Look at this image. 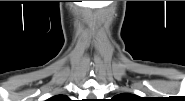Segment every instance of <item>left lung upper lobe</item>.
I'll list each match as a JSON object with an SVG mask.
<instances>
[{"label":"left lung upper lobe","mask_w":185,"mask_h":101,"mask_svg":"<svg viewBox=\"0 0 185 101\" xmlns=\"http://www.w3.org/2000/svg\"><path fill=\"white\" fill-rule=\"evenodd\" d=\"M116 97H118V101H127L129 99H132L133 95L131 94H120V95H117Z\"/></svg>","instance_id":"obj_1"}]
</instances>
